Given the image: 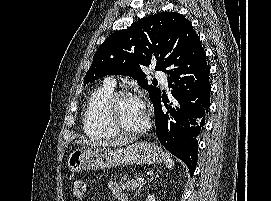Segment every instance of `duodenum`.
Masks as SVG:
<instances>
[{
	"mask_svg": "<svg viewBox=\"0 0 271 201\" xmlns=\"http://www.w3.org/2000/svg\"><path fill=\"white\" fill-rule=\"evenodd\" d=\"M119 201H127V197L125 194H121L118 196Z\"/></svg>",
	"mask_w": 271,
	"mask_h": 201,
	"instance_id": "obj_1",
	"label": "duodenum"
}]
</instances>
